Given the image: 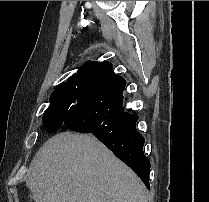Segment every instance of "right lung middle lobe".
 Wrapping results in <instances>:
<instances>
[{"label":"right lung middle lobe","instance_id":"1","mask_svg":"<svg viewBox=\"0 0 209 202\" xmlns=\"http://www.w3.org/2000/svg\"><path fill=\"white\" fill-rule=\"evenodd\" d=\"M92 80L90 75L82 74L68 78L51 94L50 105L43 114V124L49 133L63 128L64 122L79 108V95L85 85Z\"/></svg>","mask_w":209,"mask_h":202}]
</instances>
